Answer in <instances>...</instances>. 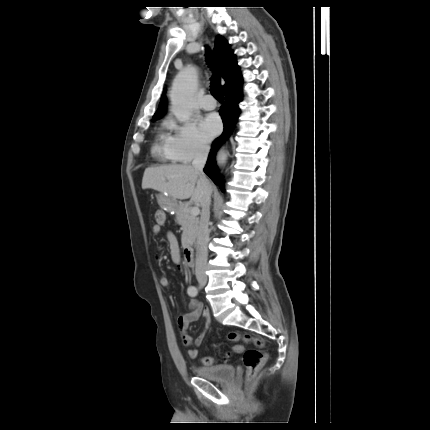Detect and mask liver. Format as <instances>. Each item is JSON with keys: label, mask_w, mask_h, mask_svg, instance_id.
Here are the masks:
<instances>
[{"label": "liver", "mask_w": 430, "mask_h": 430, "mask_svg": "<svg viewBox=\"0 0 430 430\" xmlns=\"http://www.w3.org/2000/svg\"><path fill=\"white\" fill-rule=\"evenodd\" d=\"M154 189L167 193L174 199H188L201 204L206 190L212 192L209 182L207 186L199 180L198 173L191 165H160L146 168L142 179V189Z\"/></svg>", "instance_id": "liver-1"}]
</instances>
